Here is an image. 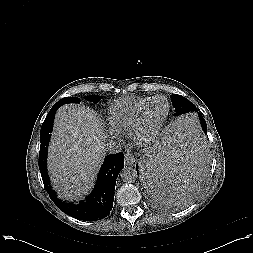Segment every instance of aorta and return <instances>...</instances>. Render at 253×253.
<instances>
[{
  "mask_svg": "<svg viewBox=\"0 0 253 253\" xmlns=\"http://www.w3.org/2000/svg\"><path fill=\"white\" fill-rule=\"evenodd\" d=\"M122 180L127 183L135 182L138 175L137 171L132 167H126L121 171L120 174Z\"/></svg>",
  "mask_w": 253,
  "mask_h": 253,
  "instance_id": "762f6f07",
  "label": "aorta"
}]
</instances>
